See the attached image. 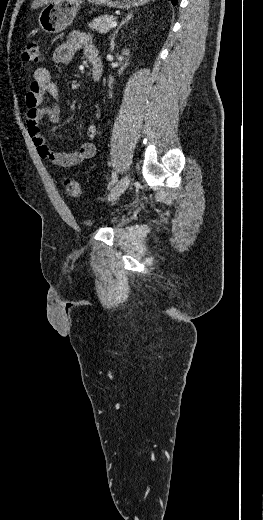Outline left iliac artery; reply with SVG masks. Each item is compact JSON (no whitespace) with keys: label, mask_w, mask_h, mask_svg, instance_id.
I'll return each instance as SVG.
<instances>
[{"label":"left iliac artery","mask_w":263,"mask_h":520,"mask_svg":"<svg viewBox=\"0 0 263 520\" xmlns=\"http://www.w3.org/2000/svg\"><path fill=\"white\" fill-rule=\"evenodd\" d=\"M116 181H117V175L115 172H112L111 184L114 185Z\"/></svg>","instance_id":"1"}]
</instances>
